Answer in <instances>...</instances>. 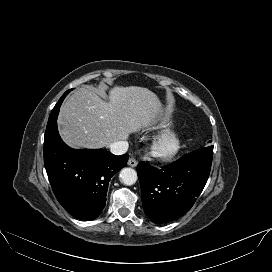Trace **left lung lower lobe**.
Wrapping results in <instances>:
<instances>
[{
  "mask_svg": "<svg viewBox=\"0 0 272 272\" xmlns=\"http://www.w3.org/2000/svg\"><path fill=\"white\" fill-rule=\"evenodd\" d=\"M213 146L198 149L162 169L140 162L142 206L154 223H168L188 212L210 174Z\"/></svg>",
  "mask_w": 272,
  "mask_h": 272,
  "instance_id": "1",
  "label": "left lung lower lobe"
}]
</instances>
